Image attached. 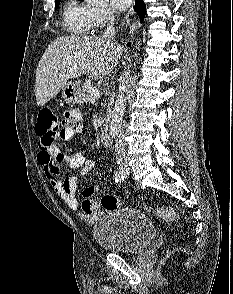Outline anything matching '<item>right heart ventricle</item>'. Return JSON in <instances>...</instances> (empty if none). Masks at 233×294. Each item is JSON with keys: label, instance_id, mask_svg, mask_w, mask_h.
I'll return each mask as SVG.
<instances>
[{"label": "right heart ventricle", "instance_id": "1", "mask_svg": "<svg viewBox=\"0 0 233 294\" xmlns=\"http://www.w3.org/2000/svg\"><path fill=\"white\" fill-rule=\"evenodd\" d=\"M62 25L72 35L89 34L94 28L92 8L79 0H66L62 11Z\"/></svg>", "mask_w": 233, "mask_h": 294}]
</instances>
